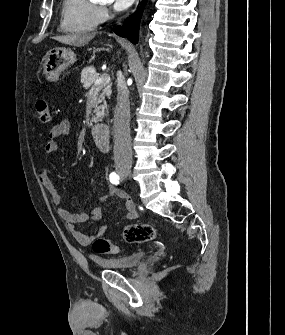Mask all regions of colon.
<instances>
[{
  "label": "colon",
  "mask_w": 285,
  "mask_h": 335,
  "mask_svg": "<svg viewBox=\"0 0 285 335\" xmlns=\"http://www.w3.org/2000/svg\"><path fill=\"white\" fill-rule=\"evenodd\" d=\"M38 119L47 123L50 121L51 112L46 99L40 98L35 105ZM122 237L127 243L150 242L156 237V230L149 224H130L123 228ZM92 249L96 253L117 254L119 247L114 245L105 235L97 236L92 242Z\"/></svg>",
  "instance_id": "colon-1"
}]
</instances>
